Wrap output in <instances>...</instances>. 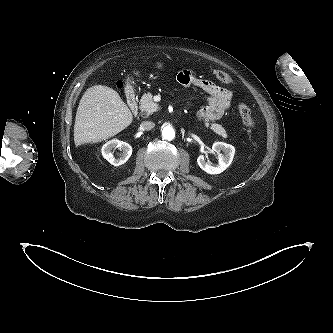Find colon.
Masks as SVG:
<instances>
[{
    "label": "colon",
    "instance_id": "5ec220e1",
    "mask_svg": "<svg viewBox=\"0 0 333 333\" xmlns=\"http://www.w3.org/2000/svg\"><path fill=\"white\" fill-rule=\"evenodd\" d=\"M214 75L222 83L229 84L232 82L231 76L222 70H215ZM238 111L244 126L248 131L252 132L256 127V123L252 117L250 108L246 104L240 102L238 104Z\"/></svg>",
    "mask_w": 333,
    "mask_h": 333
}]
</instances>
